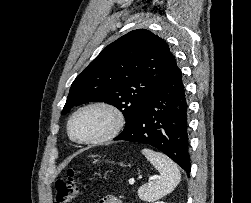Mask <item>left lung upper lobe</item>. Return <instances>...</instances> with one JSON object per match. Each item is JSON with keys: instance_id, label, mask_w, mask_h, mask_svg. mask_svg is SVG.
<instances>
[{"instance_id": "1", "label": "left lung upper lobe", "mask_w": 251, "mask_h": 203, "mask_svg": "<svg viewBox=\"0 0 251 203\" xmlns=\"http://www.w3.org/2000/svg\"><path fill=\"white\" fill-rule=\"evenodd\" d=\"M173 59L167 43L148 30L130 31L105 47L74 80L61 114L86 102L117 107L127 130Z\"/></svg>"}]
</instances>
